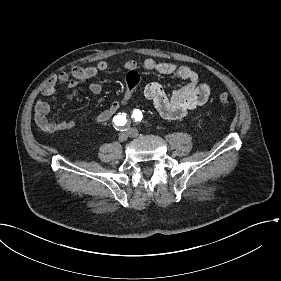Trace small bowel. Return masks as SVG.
<instances>
[{
	"label": "small bowel",
	"mask_w": 281,
	"mask_h": 281,
	"mask_svg": "<svg viewBox=\"0 0 281 281\" xmlns=\"http://www.w3.org/2000/svg\"><path fill=\"white\" fill-rule=\"evenodd\" d=\"M148 71H157L162 74H172L177 79L184 80L185 84L175 90L171 95H167L165 90L156 83H150L143 90L144 97L152 102L157 112L165 119L177 120L185 117L193 109L203 105L209 98L210 86L200 81L198 74L185 66H179L171 62H158L152 58H147L142 64ZM109 64L100 61L96 65L73 67L68 73L54 75L47 80L42 89L43 96L54 95L58 88L66 85L70 89L79 87L98 73L107 71ZM127 71L125 92L122 99L113 100L108 108L99 113L95 121L105 123L115 117L121 106L127 104L136 92L140 77L137 72L138 63L135 60H128L124 63ZM90 91L98 95L102 91L100 83L93 82L89 86ZM50 104L43 98L36 101L34 110V120L38 128L48 134L69 131L76 127L73 120L56 119L50 120L47 115L50 112Z\"/></svg>",
	"instance_id": "c3829d8e"
}]
</instances>
